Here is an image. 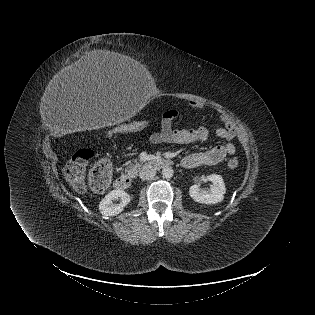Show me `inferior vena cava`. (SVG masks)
Here are the masks:
<instances>
[{"label": "inferior vena cava", "instance_id": "inferior-vena-cava-1", "mask_svg": "<svg viewBox=\"0 0 315 315\" xmlns=\"http://www.w3.org/2000/svg\"><path fill=\"white\" fill-rule=\"evenodd\" d=\"M156 175V168L147 164L139 172V176L142 180H149Z\"/></svg>", "mask_w": 315, "mask_h": 315}]
</instances>
